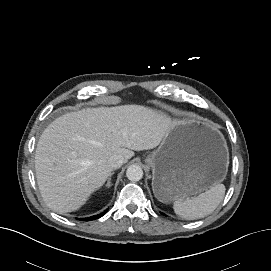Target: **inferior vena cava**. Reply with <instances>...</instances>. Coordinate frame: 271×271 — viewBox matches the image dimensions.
<instances>
[{
  "mask_svg": "<svg viewBox=\"0 0 271 271\" xmlns=\"http://www.w3.org/2000/svg\"><path fill=\"white\" fill-rule=\"evenodd\" d=\"M124 163V158L121 155H113L108 159V165L112 169L120 168L121 165Z\"/></svg>",
  "mask_w": 271,
  "mask_h": 271,
  "instance_id": "1",
  "label": "inferior vena cava"
}]
</instances>
